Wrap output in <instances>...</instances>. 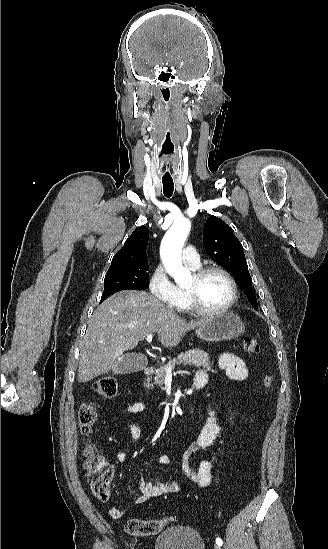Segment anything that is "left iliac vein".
<instances>
[{
	"mask_svg": "<svg viewBox=\"0 0 328 549\" xmlns=\"http://www.w3.org/2000/svg\"><path fill=\"white\" fill-rule=\"evenodd\" d=\"M214 549H221V547L218 544H215Z\"/></svg>",
	"mask_w": 328,
	"mask_h": 549,
	"instance_id": "obj_1",
	"label": "left iliac vein"
}]
</instances>
